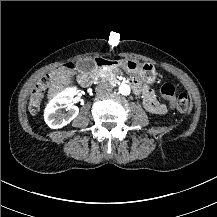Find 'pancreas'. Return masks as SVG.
Segmentation results:
<instances>
[{"instance_id": "cf45deb5", "label": "pancreas", "mask_w": 217, "mask_h": 217, "mask_svg": "<svg viewBox=\"0 0 217 217\" xmlns=\"http://www.w3.org/2000/svg\"><path fill=\"white\" fill-rule=\"evenodd\" d=\"M120 70L118 68L109 69L108 71H103L104 77L107 80H112L116 75L120 74Z\"/></svg>"}]
</instances>
